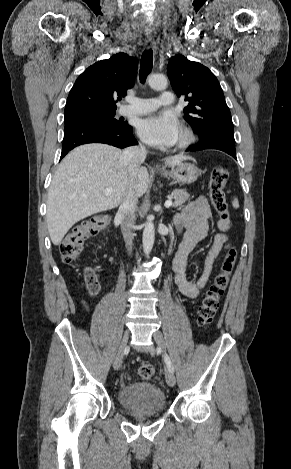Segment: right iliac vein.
I'll return each mask as SVG.
<instances>
[{
  "mask_svg": "<svg viewBox=\"0 0 291 469\" xmlns=\"http://www.w3.org/2000/svg\"><path fill=\"white\" fill-rule=\"evenodd\" d=\"M128 339H129V332L128 331H125L124 333V336L122 338V341H121V345L119 347V350H118V353L114 359V369L115 370H119L121 365H122V362H123V355H124V352H125V349H126V346H127V343H128Z\"/></svg>",
  "mask_w": 291,
  "mask_h": 469,
  "instance_id": "obj_1",
  "label": "right iliac vein"
}]
</instances>
